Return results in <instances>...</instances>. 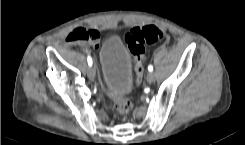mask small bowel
Segmentation results:
<instances>
[{
	"label": "small bowel",
	"instance_id": "small-bowel-1",
	"mask_svg": "<svg viewBox=\"0 0 245 145\" xmlns=\"http://www.w3.org/2000/svg\"><path fill=\"white\" fill-rule=\"evenodd\" d=\"M97 31V30H96ZM98 32V31H97ZM100 41H101V36H100V34H99V32H98V38L94 41V42H92V43H90L91 44V46L92 47H97L99 44H100Z\"/></svg>",
	"mask_w": 245,
	"mask_h": 145
}]
</instances>
